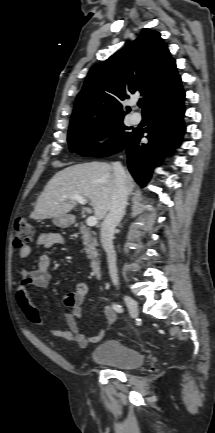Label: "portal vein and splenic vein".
<instances>
[{"instance_id":"obj_1","label":"portal vein and splenic vein","mask_w":215,"mask_h":433,"mask_svg":"<svg viewBox=\"0 0 215 433\" xmlns=\"http://www.w3.org/2000/svg\"><path fill=\"white\" fill-rule=\"evenodd\" d=\"M70 199L83 205L87 203L86 199L80 195H72ZM86 224L88 226H95L97 224V218L95 216H89L86 220Z\"/></svg>"}]
</instances>
